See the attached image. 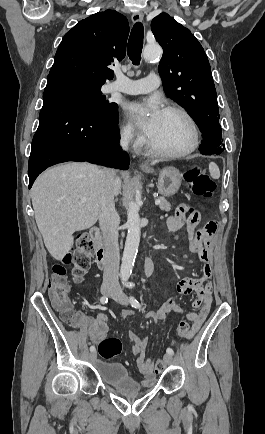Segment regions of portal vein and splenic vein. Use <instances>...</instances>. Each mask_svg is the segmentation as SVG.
<instances>
[{
	"instance_id": "1",
	"label": "portal vein and splenic vein",
	"mask_w": 265,
	"mask_h": 434,
	"mask_svg": "<svg viewBox=\"0 0 265 434\" xmlns=\"http://www.w3.org/2000/svg\"><path fill=\"white\" fill-rule=\"evenodd\" d=\"M80 202L81 204H84V202H86V198H80ZM155 204L158 206V204H160V200H155Z\"/></svg>"
}]
</instances>
